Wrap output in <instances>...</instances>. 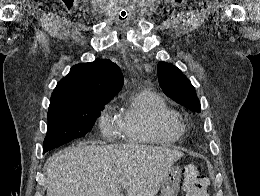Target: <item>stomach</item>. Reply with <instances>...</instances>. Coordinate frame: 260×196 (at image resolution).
<instances>
[{
    "mask_svg": "<svg viewBox=\"0 0 260 196\" xmlns=\"http://www.w3.org/2000/svg\"><path fill=\"white\" fill-rule=\"evenodd\" d=\"M181 184V170L179 166H171L161 184V196H178Z\"/></svg>",
    "mask_w": 260,
    "mask_h": 196,
    "instance_id": "obj_1",
    "label": "stomach"
}]
</instances>
